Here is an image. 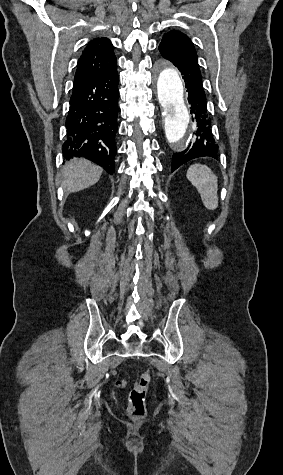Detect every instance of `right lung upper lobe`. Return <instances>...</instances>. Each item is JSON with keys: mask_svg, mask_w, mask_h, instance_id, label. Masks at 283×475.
Here are the masks:
<instances>
[{"mask_svg": "<svg viewBox=\"0 0 283 475\" xmlns=\"http://www.w3.org/2000/svg\"><path fill=\"white\" fill-rule=\"evenodd\" d=\"M116 63L110 40L104 37L95 38L87 44L79 58L75 78L105 74L116 69Z\"/></svg>", "mask_w": 283, "mask_h": 475, "instance_id": "1", "label": "right lung upper lobe"}]
</instances>
